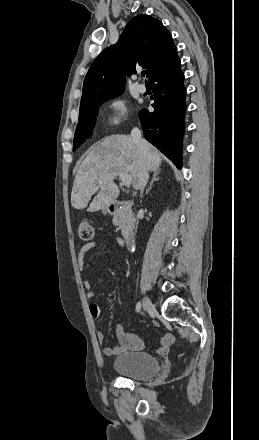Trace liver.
<instances>
[{
  "mask_svg": "<svg viewBox=\"0 0 259 440\" xmlns=\"http://www.w3.org/2000/svg\"><path fill=\"white\" fill-rule=\"evenodd\" d=\"M161 161L159 150L146 140H142V149H139L131 136L106 137L90 150L77 171L71 193L72 207L86 208L97 193L87 210L107 208L119 196V188L114 183L119 174L130 175L132 186L137 190L143 168L158 171Z\"/></svg>",
  "mask_w": 259,
  "mask_h": 440,
  "instance_id": "obj_1",
  "label": "liver"
}]
</instances>
